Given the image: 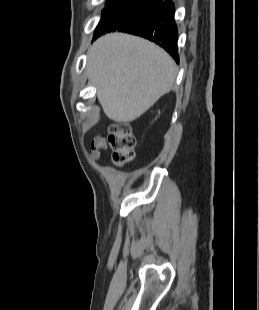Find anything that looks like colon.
I'll list each match as a JSON object with an SVG mask.
<instances>
[{
	"label": "colon",
	"instance_id": "5ec220e1",
	"mask_svg": "<svg viewBox=\"0 0 259 310\" xmlns=\"http://www.w3.org/2000/svg\"><path fill=\"white\" fill-rule=\"evenodd\" d=\"M108 141L113 148V161L117 165H127L135 157V137L127 125H113Z\"/></svg>",
	"mask_w": 259,
	"mask_h": 310
}]
</instances>
